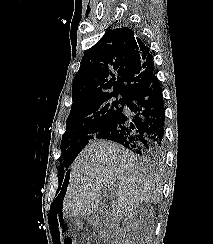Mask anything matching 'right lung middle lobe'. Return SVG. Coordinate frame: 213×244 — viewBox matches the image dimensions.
<instances>
[{
    "label": "right lung middle lobe",
    "instance_id": "1",
    "mask_svg": "<svg viewBox=\"0 0 213 244\" xmlns=\"http://www.w3.org/2000/svg\"><path fill=\"white\" fill-rule=\"evenodd\" d=\"M118 95L103 96L85 105L71 108L66 120V132L62 136L58 167L61 183L67 168L78 153L95 139V136L108 129L123 112L128 98Z\"/></svg>",
    "mask_w": 213,
    "mask_h": 244
}]
</instances>
